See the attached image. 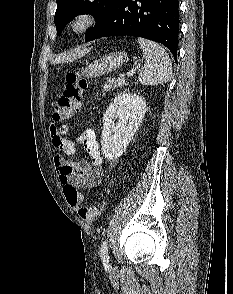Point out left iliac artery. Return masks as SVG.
Returning a JSON list of instances; mask_svg holds the SVG:
<instances>
[{
	"label": "left iliac artery",
	"instance_id": "1",
	"mask_svg": "<svg viewBox=\"0 0 233 294\" xmlns=\"http://www.w3.org/2000/svg\"><path fill=\"white\" fill-rule=\"evenodd\" d=\"M101 259L105 267H109V255H108V246L107 240H104L101 245Z\"/></svg>",
	"mask_w": 233,
	"mask_h": 294
}]
</instances>
